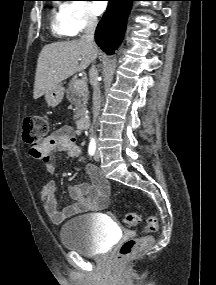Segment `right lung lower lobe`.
Masks as SVG:
<instances>
[{"instance_id": "98d812e1", "label": "right lung lower lobe", "mask_w": 216, "mask_h": 285, "mask_svg": "<svg viewBox=\"0 0 216 285\" xmlns=\"http://www.w3.org/2000/svg\"><path fill=\"white\" fill-rule=\"evenodd\" d=\"M108 1L107 10L96 28L95 40L110 55L122 41L131 3L138 0Z\"/></svg>"}]
</instances>
